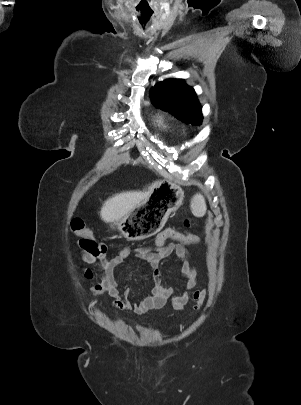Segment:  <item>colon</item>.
<instances>
[{
    "label": "colon",
    "mask_w": 301,
    "mask_h": 405,
    "mask_svg": "<svg viewBox=\"0 0 301 405\" xmlns=\"http://www.w3.org/2000/svg\"><path fill=\"white\" fill-rule=\"evenodd\" d=\"M186 226H190L188 220L185 221ZM71 231L80 237L83 245L91 251L94 255H99L105 251V247L101 248L100 245L92 239V233L88 229L84 222L80 219H75L71 222ZM165 234L173 238L174 243H179L181 247H194L200 241V238L196 233H182L176 230L175 224H170L167 229L164 230Z\"/></svg>",
    "instance_id": "obj_1"
}]
</instances>
